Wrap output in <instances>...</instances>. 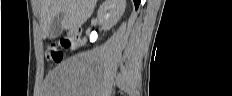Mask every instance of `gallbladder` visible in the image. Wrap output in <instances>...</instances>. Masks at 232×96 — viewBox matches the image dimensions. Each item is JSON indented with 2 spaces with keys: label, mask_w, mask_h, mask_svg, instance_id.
Masks as SVG:
<instances>
[{
  "label": "gallbladder",
  "mask_w": 232,
  "mask_h": 96,
  "mask_svg": "<svg viewBox=\"0 0 232 96\" xmlns=\"http://www.w3.org/2000/svg\"><path fill=\"white\" fill-rule=\"evenodd\" d=\"M62 18H63V15H62V13H60L53 20V22L51 24L50 32L48 35L49 39H55L56 37L61 35V33H62V27H61Z\"/></svg>",
  "instance_id": "gallbladder-1"
}]
</instances>
